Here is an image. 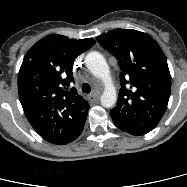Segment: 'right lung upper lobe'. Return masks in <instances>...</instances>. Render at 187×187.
<instances>
[{"label":"right lung upper lobe","mask_w":187,"mask_h":187,"mask_svg":"<svg viewBox=\"0 0 187 187\" xmlns=\"http://www.w3.org/2000/svg\"><path fill=\"white\" fill-rule=\"evenodd\" d=\"M95 40L48 35L25 55L18 76V93L24 113L46 141L71 142L83 129L89 104L72 87V62Z\"/></svg>","instance_id":"cb5924a9"}]
</instances>
